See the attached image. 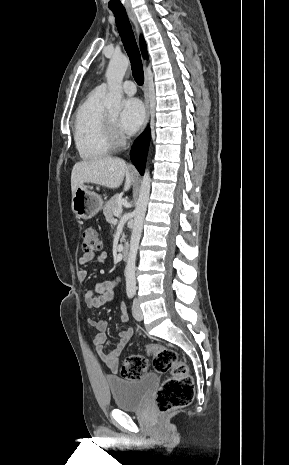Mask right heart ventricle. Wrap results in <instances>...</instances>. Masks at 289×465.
Instances as JSON below:
<instances>
[{
	"label": "right heart ventricle",
	"mask_w": 289,
	"mask_h": 465,
	"mask_svg": "<svg viewBox=\"0 0 289 465\" xmlns=\"http://www.w3.org/2000/svg\"><path fill=\"white\" fill-rule=\"evenodd\" d=\"M105 92L96 88L88 94L77 109L73 134L77 152L81 159L93 161L108 155L112 146L105 131L106 110L102 105Z\"/></svg>",
	"instance_id": "1"
}]
</instances>
